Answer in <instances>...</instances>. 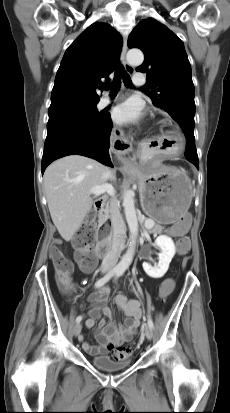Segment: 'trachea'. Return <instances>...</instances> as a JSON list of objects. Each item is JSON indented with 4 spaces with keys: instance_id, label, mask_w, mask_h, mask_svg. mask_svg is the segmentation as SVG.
I'll list each match as a JSON object with an SVG mask.
<instances>
[{
    "instance_id": "3493384b",
    "label": "trachea",
    "mask_w": 230,
    "mask_h": 413,
    "mask_svg": "<svg viewBox=\"0 0 230 413\" xmlns=\"http://www.w3.org/2000/svg\"><path fill=\"white\" fill-rule=\"evenodd\" d=\"M121 79L123 80L126 87H132V82L129 74L125 72L122 65H119L115 72L113 81L110 83L102 84L101 89L110 90L111 94H116L120 90Z\"/></svg>"
}]
</instances>
